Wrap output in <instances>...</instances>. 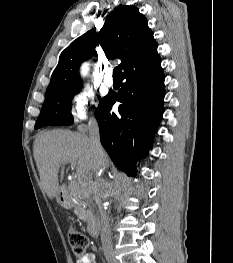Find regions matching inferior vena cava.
<instances>
[{
    "instance_id": "1",
    "label": "inferior vena cava",
    "mask_w": 233,
    "mask_h": 263,
    "mask_svg": "<svg viewBox=\"0 0 233 263\" xmlns=\"http://www.w3.org/2000/svg\"><path fill=\"white\" fill-rule=\"evenodd\" d=\"M89 139L92 145V149L95 155V161L99 164L100 163V154L102 152V146L100 143L99 137V127L96 119H92L89 123ZM83 186H91L94 199L96 201L98 207V213L100 215V224H101V243L104 251V255L108 261V263H117L115 259V254L112 246L111 240V230L109 225V220L106 215V212L103 208V204L101 201V194L99 188L96 187L91 180L88 181H81Z\"/></svg>"
}]
</instances>
